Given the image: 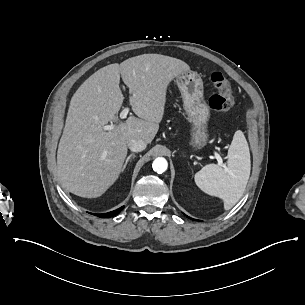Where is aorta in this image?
Returning <instances> with one entry per match:
<instances>
[{"label":"aorta","mask_w":305,"mask_h":305,"mask_svg":"<svg viewBox=\"0 0 305 305\" xmlns=\"http://www.w3.org/2000/svg\"><path fill=\"white\" fill-rule=\"evenodd\" d=\"M152 168L155 172L162 174L168 168V162L163 157H158L153 161Z\"/></svg>","instance_id":"762f6f07"}]
</instances>
